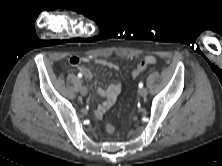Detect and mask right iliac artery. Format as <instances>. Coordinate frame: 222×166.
<instances>
[{"label": "right iliac artery", "instance_id": "82829eb1", "mask_svg": "<svg viewBox=\"0 0 222 166\" xmlns=\"http://www.w3.org/2000/svg\"><path fill=\"white\" fill-rule=\"evenodd\" d=\"M78 77H79V78H81V77H82V74H81V73H79V74H78Z\"/></svg>", "mask_w": 222, "mask_h": 166}]
</instances>
